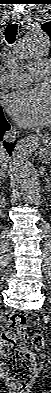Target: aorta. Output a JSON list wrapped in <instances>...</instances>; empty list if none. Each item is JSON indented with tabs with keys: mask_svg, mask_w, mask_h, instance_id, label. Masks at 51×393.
Here are the masks:
<instances>
[{
	"mask_svg": "<svg viewBox=\"0 0 51 393\" xmlns=\"http://www.w3.org/2000/svg\"><path fill=\"white\" fill-rule=\"evenodd\" d=\"M50 39L42 31H32L25 34L18 42L16 55L21 59H32L48 54ZM41 143V138L27 137L22 139L14 148L12 165L14 176L23 198L31 204L38 201V187L34 174L31 157L34 149Z\"/></svg>",
	"mask_w": 51,
	"mask_h": 393,
	"instance_id": "aorta-1",
	"label": "aorta"
}]
</instances>
